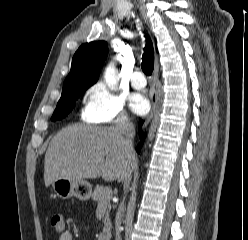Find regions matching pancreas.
Here are the masks:
<instances>
[{
  "mask_svg": "<svg viewBox=\"0 0 248 240\" xmlns=\"http://www.w3.org/2000/svg\"><path fill=\"white\" fill-rule=\"evenodd\" d=\"M112 195H108L102 186L97 185L92 193V199L97 202L98 207H103L106 210L104 218V229L103 232L106 233L107 237L111 236V221L109 219V212L111 209L110 200Z\"/></svg>",
  "mask_w": 248,
  "mask_h": 240,
  "instance_id": "1",
  "label": "pancreas"
}]
</instances>
